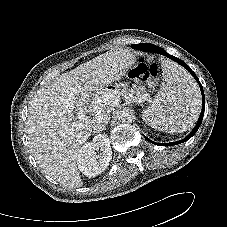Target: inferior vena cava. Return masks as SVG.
Masks as SVG:
<instances>
[{
  "label": "inferior vena cava",
  "instance_id": "inferior-vena-cava-1",
  "mask_svg": "<svg viewBox=\"0 0 227 227\" xmlns=\"http://www.w3.org/2000/svg\"><path fill=\"white\" fill-rule=\"evenodd\" d=\"M110 117L107 114H99L93 120L92 128L95 132H100L104 130L105 126L108 124Z\"/></svg>",
  "mask_w": 227,
  "mask_h": 227
}]
</instances>
